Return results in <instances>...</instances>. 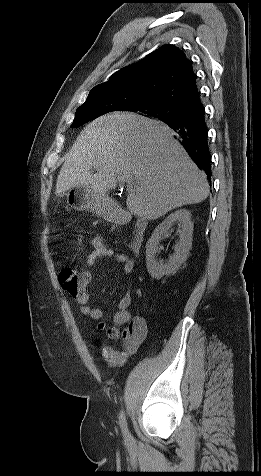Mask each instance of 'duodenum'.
<instances>
[{"instance_id":"410a0bca","label":"duodenum","mask_w":261,"mask_h":476,"mask_svg":"<svg viewBox=\"0 0 261 476\" xmlns=\"http://www.w3.org/2000/svg\"><path fill=\"white\" fill-rule=\"evenodd\" d=\"M112 219L117 224H124L129 220L128 216L122 211L115 212L112 216ZM146 230L147 222L143 219L137 220L131 239V251L134 254H138L140 252L145 240Z\"/></svg>"}]
</instances>
